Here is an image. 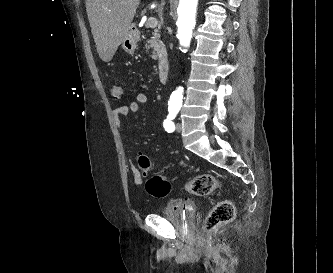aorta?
Masks as SVG:
<instances>
[{
    "label": "aorta",
    "mask_w": 333,
    "mask_h": 273,
    "mask_svg": "<svg viewBox=\"0 0 333 273\" xmlns=\"http://www.w3.org/2000/svg\"><path fill=\"white\" fill-rule=\"evenodd\" d=\"M198 0H179L177 8V38L179 40L181 49L186 52L190 45L192 38V31L195 26L196 12ZM183 99V88H178L170 97V103L173 105H180Z\"/></svg>",
    "instance_id": "aorta-1"
}]
</instances>
